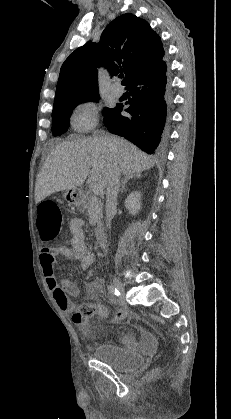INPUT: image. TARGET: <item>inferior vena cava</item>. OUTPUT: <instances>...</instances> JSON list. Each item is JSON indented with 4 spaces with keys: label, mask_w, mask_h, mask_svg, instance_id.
<instances>
[{
    "label": "inferior vena cava",
    "mask_w": 231,
    "mask_h": 419,
    "mask_svg": "<svg viewBox=\"0 0 231 419\" xmlns=\"http://www.w3.org/2000/svg\"><path fill=\"white\" fill-rule=\"evenodd\" d=\"M120 176L121 173L117 167H114L110 173L107 191H106V205H105V214H106V227H110V222L112 220L113 214L116 210L117 205V196L120 186ZM105 235H101L100 244L104 246Z\"/></svg>",
    "instance_id": "1"
}]
</instances>
